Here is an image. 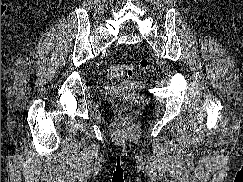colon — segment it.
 I'll return each mask as SVG.
<instances>
[{"label":"colon","mask_w":243,"mask_h":182,"mask_svg":"<svg viewBox=\"0 0 243 182\" xmlns=\"http://www.w3.org/2000/svg\"><path fill=\"white\" fill-rule=\"evenodd\" d=\"M140 67L146 68L148 66V60L142 59L139 62ZM134 67L132 65L127 64H114L108 67L107 73L108 76L112 79H123L129 77L133 74ZM125 107L124 112L125 114H129L130 108L129 106L132 104L134 97L130 94H125L123 96Z\"/></svg>","instance_id":"colon-1"}]
</instances>
